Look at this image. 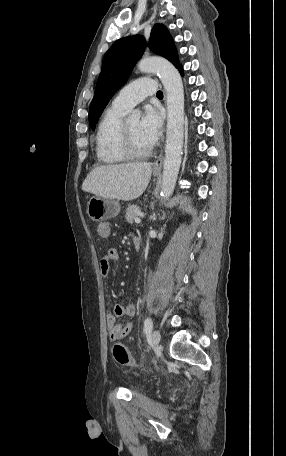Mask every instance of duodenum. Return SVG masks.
I'll list each match as a JSON object with an SVG mask.
<instances>
[{"instance_id":"obj_1","label":"duodenum","mask_w":286,"mask_h":456,"mask_svg":"<svg viewBox=\"0 0 286 456\" xmlns=\"http://www.w3.org/2000/svg\"><path fill=\"white\" fill-rule=\"evenodd\" d=\"M133 246L136 251H139L141 249V239L139 237H134L133 240Z\"/></svg>"}]
</instances>
